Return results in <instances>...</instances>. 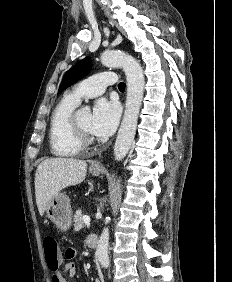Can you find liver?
<instances>
[{"mask_svg":"<svg viewBox=\"0 0 232 282\" xmlns=\"http://www.w3.org/2000/svg\"><path fill=\"white\" fill-rule=\"evenodd\" d=\"M86 172L84 160L50 158L42 161L35 173V196L40 215H44L49 202L58 192L83 182Z\"/></svg>","mask_w":232,"mask_h":282,"instance_id":"liver-1","label":"liver"}]
</instances>
